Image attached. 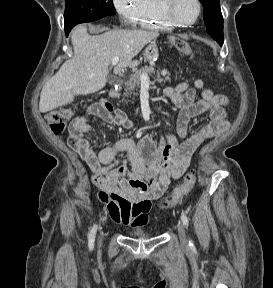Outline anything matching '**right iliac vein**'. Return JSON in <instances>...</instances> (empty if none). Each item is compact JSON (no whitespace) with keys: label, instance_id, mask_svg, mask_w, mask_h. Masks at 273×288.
Wrapping results in <instances>:
<instances>
[{"label":"right iliac vein","instance_id":"63e3f726","mask_svg":"<svg viewBox=\"0 0 273 288\" xmlns=\"http://www.w3.org/2000/svg\"><path fill=\"white\" fill-rule=\"evenodd\" d=\"M102 241H103V236H102V234H100L99 238H98V245L99 246L102 244Z\"/></svg>","mask_w":273,"mask_h":288}]
</instances>
